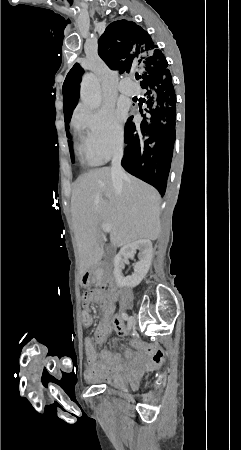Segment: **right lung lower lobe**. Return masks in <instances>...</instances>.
Returning a JSON list of instances; mask_svg holds the SVG:
<instances>
[{
	"label": "right lung lower lobe",
	"mask_w": 241,
	"mask_h": 450,
	"mask_svg": "<svg viewBox=\"0 0 241 450\" xmlns=\"http://www.w3.org/2000/svg\"><path fill=\"white\" fill-rule=\"evenodd\" d=\"M141 78V87L147 89L145 111L150 117H144L139 126L131 122L133 116L128 118L125 124L127 146L121 164L127 172L154 186L163 196L176 137V95L168 62L144 69ZM71 115L65 116L67 130Z\"/></svg>",
	"instance_id": "obj_1"
}]
</instances>
